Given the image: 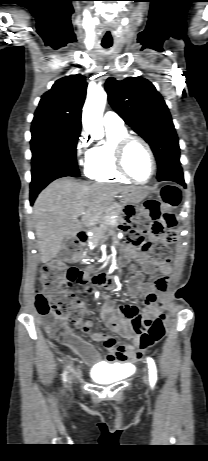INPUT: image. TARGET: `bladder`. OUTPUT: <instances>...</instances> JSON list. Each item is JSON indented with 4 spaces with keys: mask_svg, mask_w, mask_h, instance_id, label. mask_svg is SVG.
<instances>
[{
    "mask_svg": "<svg viewBox=\"0 0 208 461\" xmlns=\"http://www.w3.org/2000/svg\"><path fill=\"white\" fill-rule=\"evenodd\" d=\"M121 365L98 363L90 370V377L97 383L109 384L121 380L124 377Z\"/></svg>",
    "mask_w": 208,
    "mask_h": 461,
    "instance_id": "31cf9c89",
    "label": "bladder"
}]
</instances>
